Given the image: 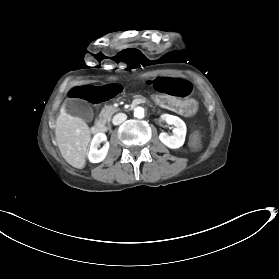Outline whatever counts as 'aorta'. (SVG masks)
<instances>
[{
    "label": "aorta",
    "instance_id": "1",
    "mask_svg": "<svg viewBox=\"0 0 279 279\" xmlns=\"http://www.w3.org/2000/svg\"><path fill=\"white\" fill-rule=\"evenodd\" d=\"M134 116L136 118H143L144 117V109L142 107H137L134 109Z\"/></svg>",
    "mask_w": 279,
    "mask_h": 279
}]
</instances>
